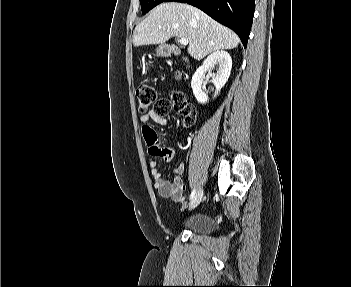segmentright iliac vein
<instances>
[{
  "label": "right iliac vein",
  "mask_w": 351,
  "mask_h": 287,
  "mask_svg": "<svg viewBox=\"0 0 351 287\" xmlns=\"http://www.w3.org/2000/svg\"><path fill=\"white\" fill-rule=\"evenodd\" d=\"M202 197H203V190L200 189V190H198L196 195L191 200V202L189 204V209L192 210V209L196 208L200 204Z\"/></svg>",
  "instance_id": "1"
}]
</instances>
